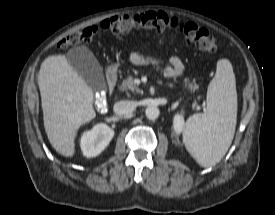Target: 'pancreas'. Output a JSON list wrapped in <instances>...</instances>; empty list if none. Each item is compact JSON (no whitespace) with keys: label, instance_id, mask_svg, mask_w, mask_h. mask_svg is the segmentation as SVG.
<instances>
[{"label":"pancreas","instance_id":"pancreas-1","mask_svg":"<svg viewBox=\"0 0 275 215\" xmlns=\"http://www.w3.org/2000/svg\"><path fill=\"white\" fill-rule=\"evenodd\" d=\"M184 87L187 88L190 92L198 91L199 85L196 83L195 80L190 81L189 78H185L183 80ZM122 90H131L132 92H140V89L137 88L134 79L132 76H128L125 80H123L121 85ZM196 101L193 103V106H196Z\"/></svg>","mask_w":275,"mask_h":215}]
</instances>
